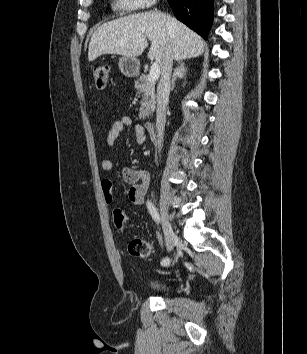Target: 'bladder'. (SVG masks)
Instances as JSON below:
<instances>
[{
  "label": "bladder",
  "mask_w": 307,
  "mask_h": 354,
  "mask_svg": "<svg viewBox=\"0 0 307 354\" xmlns=\"http://www.w3.org/2000/svg\"><path fill=\"white\" fill-rule=\"evenodd\" d=\"M150 289L156 293H168L172 289L171 282L163 279L153 280L149 284Z\"/></svg>",
  "instance_id": "bladder-1"
}]
</instances>
